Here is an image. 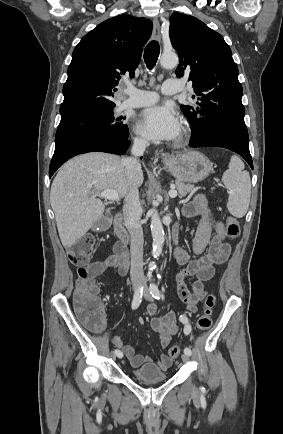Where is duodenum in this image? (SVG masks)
<instances>
[{
	"label": "duodenum",
	"instance_id": "duodenum-1",
	"mask_svg": "<svg viewBox=\"0 0 283 434\" xmlns=\"http://www.w3.org/2000/svg\"><path fill=\"white\" fill-rule=\"evenodd\" d=\"M113 229H114V232L116 233V235L119 238V242L118 243L120 244V246L122 247V249L125 252H127V244H128V241H129V236H128V233H127V231H126V229L124 227L123 217H122L121 214H117L115 216ZM177 236H178V232H177V228L175 227L174 231H173V238H174V240L177 239Z\"/></svg>",
	"mask_w": 283,
	"mask_h": 434
}]
</instances>
